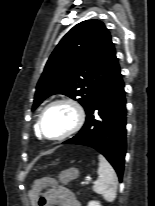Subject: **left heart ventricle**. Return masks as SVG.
<instances>
[{"label":"left heart ventricle","mask_w":155,"mask_h":206,"mask_svg":"<svg viewBox=\"0 0 155 206\" xmlns=\"http://www.w3.org/2000/svg\"><path fill=\"white\" fill-rule=\"evenodd\" d=\"M72 122V111L65 106H58L49 110L44 116L42 131L48 137H56L64 133Z\"/></svg>","instance_id":"left-heart-ventricle-1"}]
</instances>
